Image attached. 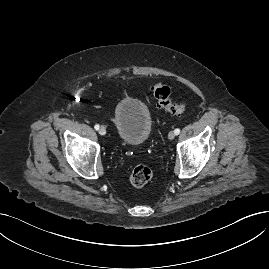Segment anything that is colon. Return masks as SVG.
I'll return each mask as SVG.
<instances>
[{"label": "colon", "instance_id": "colon-1", "mask_svg": "<svg viewBox=\"0 0 269 269\" xmlns=\"http://www.w3.org/2000/svg\"><path fill=\"white\" fill-rule=\"evenodd\" d=\"M151 90L157 100V105L172 114H181L186 108L187 104L183 102H176L171 97V91L168 86L162 83L152 85ZM152 178V170L149 166L139 164L133 168L130 174V182L135 187L145 186Z\"/></svg>", "mask_w": 269, "mask_h": 269}]
</instances>
